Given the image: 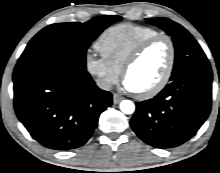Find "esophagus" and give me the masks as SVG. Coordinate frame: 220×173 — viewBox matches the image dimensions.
<instances>
[{
    "label": "esophagus",
    "instance_id": "34e87169",
    "mask_svg": "<svg viewBox=\"0 0 220 173\" xmlns=\"http://www.w3.org/2000/svg\"><path fill=\"white\" fill-rule=\"evenodd\" d=\"M123 100V97L120 96L119 94L117 93H114L113 94V103L114 104H118L119 102H121Z\"/></svg>",
    "mask_w": 220,
    "mask_h": 173
}]
</instances>
